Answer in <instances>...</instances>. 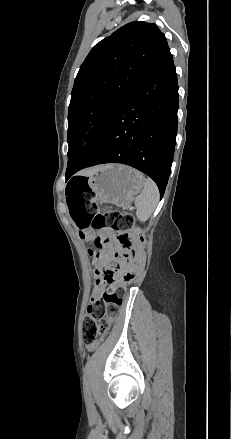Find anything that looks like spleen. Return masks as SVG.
I'll return each instance as SVG.
<instances>
[{"label": "spleen", "instance_id": "3e777b00", "mask_svg": "<svg viewBox=\"0 0 231 439\" xmlns=\"http://www.w3.org/2000/svg\"><path fill=\"white\" fill-rule=\"evenodd\" d=\"M159 201V190L155 182L145 179L141 193L135 198L136 216L141 222L147 221L153 214Z\"/></svg>", "mask_w": 231, "mask_h": 439}]
</instances>
